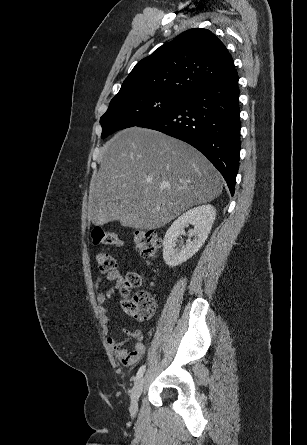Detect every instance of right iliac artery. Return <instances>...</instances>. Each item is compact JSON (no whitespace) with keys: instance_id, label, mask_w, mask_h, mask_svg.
<instances>
[{"instance_id":"obj_1","label":"right iliac artery","mask_w":307,"mask_h":445,"mask_svg":"<svg viewBox=\"0 0 307 445\" xmlns=\"http://www.w3.org/2000/svg\"><path fill=\"white\" fill-rule=\"evenodd\" d=\"M145 368H146V365H142V366L139 368V370H138V372H137V374H136L135 380H138V379L143 375V373H144V371H145Z\"/></svg>"}]
</instances>
